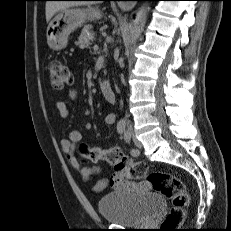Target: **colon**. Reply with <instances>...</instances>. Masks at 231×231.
I'll return each instance as SVG.
<instances>
[{"mask_svg": "<svg viewBox=\"0 0 231 231\" xmlns=\"http://www.w3.org/2000/svg\"><path fill=\"white\" fill-rule=\"evenodd\" d=\"M50 79L57 89L70 86L73 82L70 69L61 61L50 63ZM80 154L92 161H105L114 167L117 174L128 180L142 178L151 187L164 195L172 203V208L161 226V231H175L185 218V208L189 204V193L183 182L171 173L163 171L150 172L144 162H134L119 148L103 149L99 147L80 146Z\"/></svg>", "mask_w": 231, "mask_h": 231, "instance_id": "1", "label": "colon"}]
</instances>
